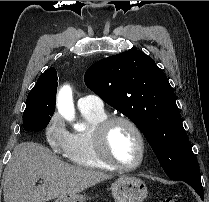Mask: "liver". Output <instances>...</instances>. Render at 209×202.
I'll list each match as a JSON object with an SVG mask.
<instances>
[{
    "instance_id": "obj_1",
    "label": "liver",
    "mask_w": 209,
    "mask_h": 202,
    "mask_svg": "<svg viewBox=\"0 0 209 202\" xmlns=\"http://www.w3.org/2000/svg\"><path fill=\"white\" fill-rule=\"evenodd\" d=\"M112 176L69 165L48 148L33 142L18 144L3 173L5 202H47L75 195ZM42 179L44 183L36 186Z\"/></svg>"
}]
</instances>
